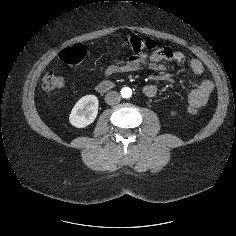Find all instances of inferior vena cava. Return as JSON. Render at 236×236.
Returning <instances> with one entry per match:
<instances>
[{
    "mask_svg": "<svg viewBox=\"0 0 236 236\" xmlns=\"http://www.w3.org/2000/svg\"><path fill=\"white\" fill-rule=\"evenodd\" d=\"M105 101L109 105H115L121 101V96L117 91H109L105 95Z\"/></svg>",
    "mask_w": 236,
    "mask_h": 236,
    "instance_id": "obj_1",
    "label": "inferior vena cava"
}]
</instances>
